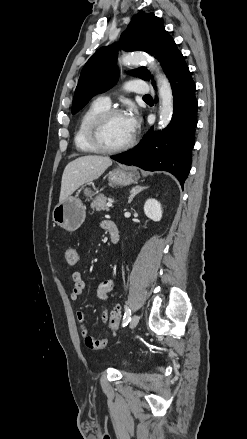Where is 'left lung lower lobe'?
<instances>
[{
	"mask_svg": "<svg viewBox=\"0 0 247 439\" xmlns=\"http://www.w3.org/2000/svg\"><path fill=\"white\" fill-rule=\"evenodd\" d=\"M171 83L174 110L170 124L162 132L153 130L131 151L111 158L125 165L144 170L172 173L183 186L189 171L197 124L196 86L184 58L168 76Z\"/></svg>",
	"mask_w": 247,
	"mask_h": 439,
	"instance_id": "left-lung-lower-lobe-1",
	"label": "left lung lower lobe"
}]
</instances>
